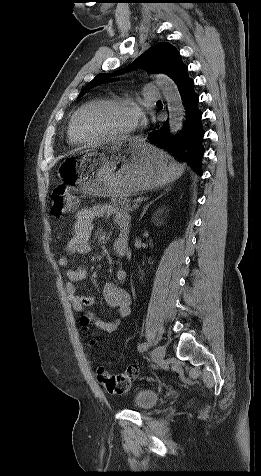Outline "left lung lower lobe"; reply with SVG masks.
Returning <instances> with one entry per match:
<instances>
[{"label": "left lung lower lobe", "mask_w": 261, "mask_h": 476, "mask_svg": "<svg viewBox=\"0 0 261 476\" xmlns=\"http://www.w3.org/2000/svg\"><path fill=\"white\" fill-rule=\"evenodd\" d=\"M175 83L186 109V121L181 132L173 135L169 132L168 121L159 129L150 133V145L160 148L187 163L198 174H202L200 160L204 155L201 141L204 130L201 126L202 112L198 109L199 96L194 91V81L188 76V68L178 75Z\"/></svg>", "instance_id": "obj_1"}]
</instances>
